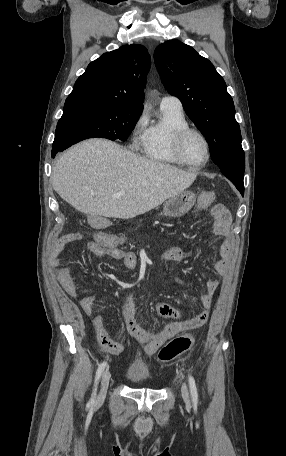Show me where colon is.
<instances>
[{"mask_svg":"<svg viewBox=\"0 0 286 456\" xmlns=\"http://www.w3.org/2000/svg\"><path fill=\"white\" fill-rule=\"evenodd\" d=\"M215 199V194L213 192H205L201 194L199 198V204L203 207H206L213 203ZM80 235L78 233H73L72 238L78 239ZM106 242H109V238H104ZM194 344V339L191 336H179L170 341L165 347H163L158 357L163 362H169L175 359L176 357L184 354L189 351Z\"/></svg>","mask_w":286,"mask_h":456,"instance_id":"1","label":"colon"}]
</instances>
